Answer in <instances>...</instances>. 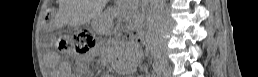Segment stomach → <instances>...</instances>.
<instances>
[{
    "label": "stomach",
    "instance_id": "obj_1",
    "mask_svg": "<svg viewBox=\"0 0 258 77\" xmlns=\"http://www.w3.org/2000/svg\"><path fill=\"white\" fill-rule=\"evenodd\" d=\"M94 24L96 25L97 28L99 27L98 20H94Z\"/></svg>",
    "mask_w": 258,
    "mask_h": 77
}]
</instances>
